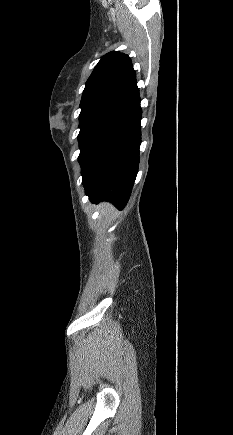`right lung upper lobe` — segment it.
I'll return each instance as SVG.
<instances>
[{
	"instance_id": "cb5924a9",
	"label": "right lung upper lobe",
	"mask_w": 233,
	"mask_h": 435,
	"mask_svg": "<svg viewBox=\"0 0 233 435\" xmlns=\"http://www.w3.org/2000/svg\"><path fill=\"white\" fill-rule=\"evenodd\" d=\"M140 101L131 59L112 51L101 58L86 82L80 117L98 113L126 116Z\"/></svg>"
}]
</instances>
